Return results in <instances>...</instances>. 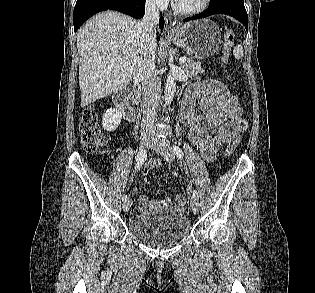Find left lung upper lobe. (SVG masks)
I'll use <instances>...</instances> for the list:
<instances>
[{"instance_id":"left-lung-upper-lobe-1","label":"left lung upper lobe","mask_w":315,"mask_h":293,"mask_svg":"<svg viewBox=\"0 0 315 293\" xmlns=\"http://www.w3.org/2000/svg\"><path fill=\"white\" fill-rule=\"evenodd\" d=\"M219 1H221V0H211L210 5H212V4L216 3V2H219Z\"/></svg>"}]
</instances>
